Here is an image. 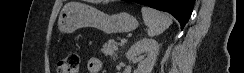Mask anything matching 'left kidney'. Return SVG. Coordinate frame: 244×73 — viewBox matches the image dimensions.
<instances>
[{"label":"left kidney","instance_id":"left-kidney-1","mask_svg":"<svg viewBox=\"0 0 244 73\" xmlns=\"http://www.w3.org/2000/svg\"><path fill=\"white\" fill-rule=\"evenodd\" d=\"M145 54V57L143 56ZM159 54V44L154 39L144 38L131 46L126 57L133 63H138L134 73H151Z\"/></svg>","mask_w":244,"mask_h":73}]
</instances>
